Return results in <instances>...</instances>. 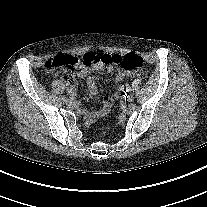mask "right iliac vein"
Returning <instances> with one entry per match:
<instances>
[{
  "label": "right iliac vein",
  "mask_w": 207,
  "mask_h": 207,
  "mask_svg": "<svg viewBox=\"0 0 207 207\" xmlns=\"http://www.w3.org/2000/svg\"><path fill=\"white\" fill-rule=\"evenodd\" d=\"M65 102H66L67 104H72L73 99H72V98H68V99L65 100Z\"/></svg>",
  "instance_id": "right-iliac-vein-1"
}]
</instances>
